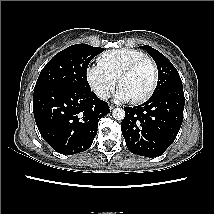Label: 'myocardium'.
Instances as JSON below:
<instances>
[{
    "instance_id": "myocardium-1",
    "label": "myocardium",
    "mask_w": 214,
    "mask_h": 214,
    "mask_svg": "<svg viewBox=\"0 0 214 214\" xmlns=\"http://www.w3.org/2000/svg\"><path fill=\"white\" fill-rule=\"evenodd\" d=\"M143 64H148L150 66L151 71H152V81H151L150 86L148 87V89L146 90V92L143 95H141L140 97H138L136 99H132V102L137 103V104L148 100L151 97V95L153 94L154 90L156 89V86L158 83V69H157L155 62L147 56L137 59L134 62H132L131 64H129L128 66H126L120 72V74L117 78V83H118V86L120 87L121 80L124 77L128 76L129 74L133 73L138 67H140Z\"/></svg>"
}]
</instances>
